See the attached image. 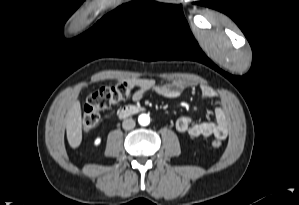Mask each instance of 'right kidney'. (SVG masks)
Masks as SVG:
<instances>
[{
  "label": "right kidney",
  "instance_id": "obj_1",
  "mask_svg": "<svg viewBox=\"0 0 299 205\" xmlns=\"http://www.w3.org/2000/svg\"><path fill=\"white\" fill-rule=\"evenodd\" d=\"M100 143H101V138L100 137L96 138L95 141H94V144L96 146H98Z\"/></svg>",
  "mask_w": 299,
  "mask_h": 205
}]
</instances>
